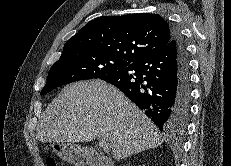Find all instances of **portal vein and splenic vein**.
Instances as JSON below:
<instances>
[{"instance_id": "18ae733b", "label": "portal vein and splenic vein", "mask_w": 231, "mask_h": 166, "mask_svg": "<svg viewBox=\"0 0 231 166\" xmlns=\"http://www.w3.org/2000/svg\"><path fill=\"white\" fill-rule=\"evenodd\" d=\"M99 146L102 147L103 151L108 153L110 150V143L106 137L99 136Z\"/></svg>"}]
</instances>
